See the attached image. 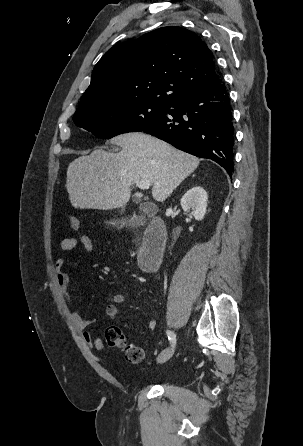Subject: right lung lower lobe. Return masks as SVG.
<instances>
[{"label":"right lung lower lobe","mask_w":303,"mask_h":446,"mask_svg":"<svg viewBox=\"0 0 303 446\" xmlns=\"http://www.w3.org/2000/svg\"><path fill=\"white\" fill-rule=\"evenodd\" d=\"M143 131L182 151L212 159L229 176L233 174L232 109L222 80L187 93Z\"/></svg>","instance_id":"right-lung-lower-lobe-1"}]
</instances>
